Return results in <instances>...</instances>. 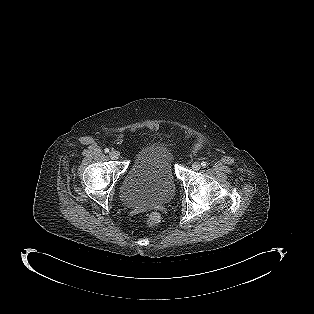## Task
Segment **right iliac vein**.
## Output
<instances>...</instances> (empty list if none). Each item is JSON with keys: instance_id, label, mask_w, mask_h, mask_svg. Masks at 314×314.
<instances>
[{"instance_id": "obj_1", "label": "right iliac vein", "mask_w": 314, "mask_h": 314, "mask_svg": "<svg viewBox=\"0 0 314 314\" xmlns=\"http://www.w3.org/2000/svg\"><path fill=\"white\" fill-rule=\"evenodd\" d=\"M109 156H110V158L113 159V160H116V159L119 158V154H118L116 151H111V152L109 153Z\"/></svg>"}]
</instances>
